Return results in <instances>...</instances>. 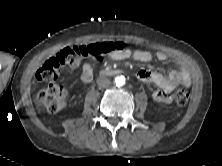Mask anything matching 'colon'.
Returning a JSON list of instances; mask_svg holds the SVG:
<instances>
[{
	"label": "colon",
	"instance_id": "colon-1",
	"mask_svg": "<svg viewBox=\"0 0 222 166\" xmlns=\"http://www.w3.org/2000/svg\"><path fill=\"white\" fill-rule=\"evenodd\" d=\"M123 48L125 46L121 42H100L62 49L47 59L36 72L38 80L49 82L48 87L38 93V104L49 112H58L64 107L67 97L65 88L55 82L63 67L76 66L86 59L103 60ZM188 99L189 94L185 90H178L175 94V102L179 107L185 106Z\"/></svg>",
	"mask_w": 222,
	"mask_h": 166
}]
</instances>
